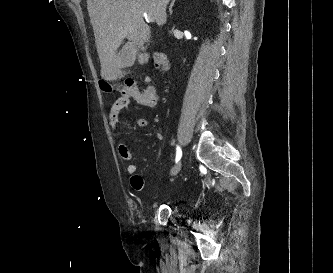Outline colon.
I'll list each match as a JSON object with an SVG mask.
<instances>
[{
	"label": "colon",
	"mask_w": 333,
	"mask_h": 273,
	"mask_svg": "<svg viewBox=\"0 0 333 273\" xmlns=\"http://www.w3.org/2000/svg\"><path fill=\"white\" fill-rule=\"evenodd\" d=\"M154 66L156 70L160 72H165L169 69V61L165 54L163 53H155L154 55ZM101 88L104 91L110 92L113 90L118 91L122 96H134L137 87L133 80L127 79L120 84H112L109 82H102Z\"/></svg>",
	"instance_id": "colon-1"
}]
</instances>
